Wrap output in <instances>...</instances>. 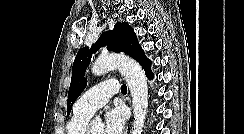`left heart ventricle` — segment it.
Returning a JSON list of instances; mask_svg holds the SVG:
<instances>
[{
  "label": "left heart ventricle",
  "mask_w": 244,
  "mask_h": 134,
  "mask_svg": "<svg viewBox=\"0 0 244 134\" xmlns=\"http://www.w3.org/2000/svg\"><path fill=\"white\" fill-rule=\"evenodd\" d=\"M92 134H103V124L95 122L91 126Z\"/></svg>",
  "instance_id": "1"
}]
</instances>
